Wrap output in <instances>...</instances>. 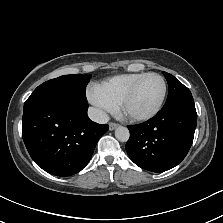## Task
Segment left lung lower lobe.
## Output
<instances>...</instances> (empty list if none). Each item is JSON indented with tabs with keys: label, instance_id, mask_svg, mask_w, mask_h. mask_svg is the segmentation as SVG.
I'll use <instances>...</instances> for the list:
<instances>
[{
	"label": "left lung lower lobe",
	"instance_id": "left-lung-lower-lobe-1",
	"mask_svg": "<svg viewBox=\"0 0 223 223\" xmlns=\"http://www.w3.org/2000/svg\"><path fill=\"white\" fill-rule=\"evenodd\" d=\"M197 123L195 106L162 108L152 119L128 126L126 151L139 167L163 172L178 165L187 155Z\"/></svg>",
	"mask_w": 223,
	"mask_h": 223
}]
</instances>
